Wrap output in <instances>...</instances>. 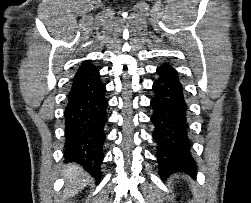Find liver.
Masks as SVG:
<instances>
[{"mask_svg":"<svg viewBox=\"0 0 251 203\" xmlns=\"http://www.w3.org/2000/svg\"><path fill=\"white\" fill-rule=\"evenodd\" d=\"M62 174L67 182L72 185V188L67 192V196L77 194L80 184H86L88 182V179L84 178L83 170L75 164L67 165Z\"/></svg>","mask_w":251,"mask_h":203,"instance_id":"obj_1","label":"liver"}]
</instances>
